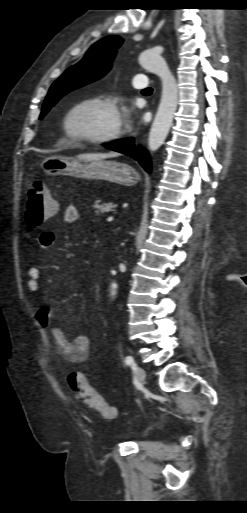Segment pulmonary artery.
I'll return each instance as SVG.
<instances>
[{
  "label": "pulmonary artery",
  "instance_id": "pulmonary-artery-1",
  "mask_svg": "<svg viewBox=\"0 0 247 513\" xmlns=\"http://www.w3.org/2000/svg\"><path fill=\"white\" fill-rule=\"evenodd\" d=\"M133 86L136 89H144L148 86L147 77L144 74H137L133 78Z\"/></svg>",
  "mask_w": 247,
  "mask_h": 513
}]
</instances>
